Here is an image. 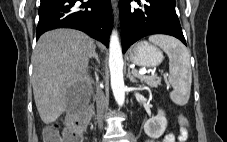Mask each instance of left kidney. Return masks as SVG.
<instances>
[{"label": "left kidney", "mask_w": 227, "mask_h": 142, "mask_svg": "<svg viewBox=\"0 0 227 142\" xmlns=\"http://www.w3.org/2000/svg\"><path fill=\"white\" fill-rule=\"evenodd\" d=\"M166 127L167 119L164 112L159 109L157 116L150 118L144 124V131L150 138L157 139L163 135Z\"/></svg>", "instance_id": "left-kidney-1"}]
</instances>
